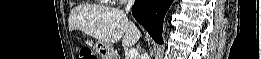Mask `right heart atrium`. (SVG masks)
<instances>
[{
  "instance_id": "d8ad5b80",
  "label": "right heart atrium",
  "mask_w": 261,
  "mask_h": 59,
  "mask_svg": "<svg viewBox=\"0 0 261 59\" xmlns=\"http://www.w3.org/2000/svg\"><path fill=\"white\" fill-rule=\"evenodd\" d=\"M124 1H126V0H116V2H119V3H123Z\"/></svg>"
}]
</instances>
